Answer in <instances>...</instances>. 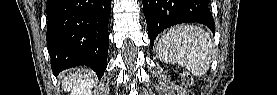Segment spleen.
Segmentation results:
<instances>
[{"instance_id": "1", "label": "spleen", "mask_w": 277, "mask_h": 95, "mask_svg": "<svg viewBox=\"0 0 277 95\" xmlns=\"http://www.w3.org/2000/svg\"><path fill=\"white\" fill-rule=\"evenodd\" d=\"M214 44L207 32L197 26L180 25L164 34L156 46L158 58L178 64L195 76L209 69Z\"/></svg>"}]
</instances>
